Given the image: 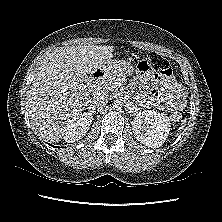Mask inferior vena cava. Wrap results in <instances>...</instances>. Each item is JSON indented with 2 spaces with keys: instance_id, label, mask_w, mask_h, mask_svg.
<instances>
[{
  "instance_id": "1",
  "label": "inferior vena cava",
  "mask_w": 222,
  "mask_h": 222,
  "mask_svg": "<svg viewBox=\"0 0 222 222\" xmlns=\"http://www.w3.org/2000/svg\"><path fill=\"white\" fill-rule=\"evenodd\" d=\"M108 103V98L106 95L101 93H95L90 98V108L95 110L96 108H102Z\"/></svg>"
}]
</instances>
